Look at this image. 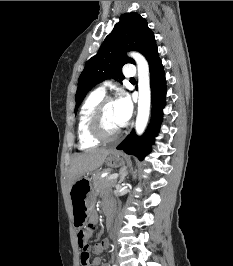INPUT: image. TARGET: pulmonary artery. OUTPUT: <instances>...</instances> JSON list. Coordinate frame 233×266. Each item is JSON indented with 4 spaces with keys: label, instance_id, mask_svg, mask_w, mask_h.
<instances>
[{
    "label": "pulmonary artery",
    "instance_id": "e3ab8cb5",
    "mask_svg": "<svg viewBox=\"0 0 233 266\" xmlns=\"http://www.w3.org/2000/svg\"><path fill=\"white\" fill-rule=\"evenodd\" d=\"M124 76L125 77H128V78H132L135 76L136 72H135V68L133 65H127L125 68H124ZM111 85V82L110 81H105L102 83V85L100 87H98V90L105 93L107 88Z\"/></svg>",
    "mask_w": 233,
    "mask_h": 266
}]
</instances>
